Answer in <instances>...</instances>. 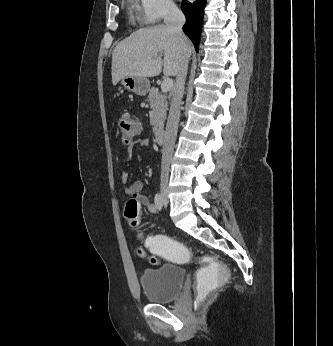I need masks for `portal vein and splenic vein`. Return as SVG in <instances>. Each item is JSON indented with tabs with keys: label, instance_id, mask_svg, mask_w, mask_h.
I'll return each instance as SVG.
<instances>
[{
	"label": "portal vein and splenic vein",
	"instance_id": "18ae733b",
	"mask_svg": "<svg viewBox=\"0 0 333 346\" xmlns=\"http://www.w3.org/2000/svg\"><path fill=\"white\" fill-rule=\"evenodd\" d=\"M173 80L170 78L164 79V81L161 84V90L163 92H168L173 88Z\"/></svg>",
	"mask_w": 333,
	"mask_h": 346
}]
</instances>
